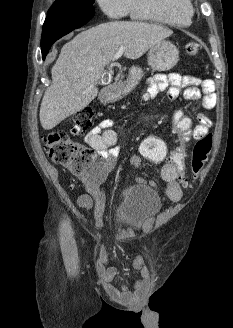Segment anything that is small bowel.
<instances>
[{
  "label": "small bowel",
  "mask_w": 233,
  "mask_h": 328,
  "mask_svg": "<svg viewBox=\"0 0 233 328\" xmlns=\"http://www.w3.org/2000/svg\"><path fill=\"white\" fill-rule=\"evenodd\" d=\"M182 90L184 98L188 101L202 99V105L206 111L215 106L216 95L212 80L197 76H181L176 73L156 75L149 82L143 98L145 100L154 99L159 93L166 91L170 99H175ZM206 111H201L197 115L198 124L193 128L192 133V138L195 140L207 135L211 127V121ZM112 126L113 121L111 119H103L85 137V143L103 159V174L97 180L85 182L87 194L79 196L77 204L86 210L93 209L97 222L102 221L106 204L105 190L101 183L105 175L114 168L119 153L118 147H115L117 134ZM131 161L135 167H142V162L138 157H133ZM161 176L166 183L168 198L172 201L180 200L182 197L180 176L174 165L170 162L164 164L161 169ZM136 180L140 184L145 183L141 177H137ZM151 184L154 185L155 183L152 182ZM132 266L134 273L138 275V280L131 290L124 282L117 284L113 282L117 271L106 254L99 259L98 273L101 285L116 302L133 303L143 299L148 293L150 277L144 260L140 256H135L132 258Z\"/></svg>",
  "instance_id": "c3829d8e"
}]
</instances>
